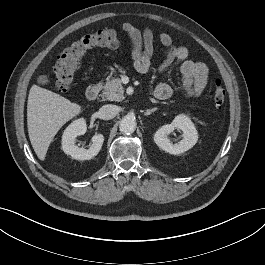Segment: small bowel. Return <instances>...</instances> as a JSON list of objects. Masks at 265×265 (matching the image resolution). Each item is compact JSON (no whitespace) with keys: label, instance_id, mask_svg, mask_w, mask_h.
Listing matches in <instances>:
<instances>
[{"label":"small bowel","instance_id":"1","mask_svg":"<svg viewBox=\"0 0 265 265\" xmlns=\"http://www.w3.org/2000/svg\"><path fill=\"white\" fill-rule=\"evenodd\" d=\"M122 29L130 38L131 56L135 69L139 73H146L151 66L154 50V34L150 28L140 30L131 22H124ZM159 41L165 48L164 60L160 69H164L174 62H180L182 74V85L185 95L188 98H196L203 92L207 79L208 67L203 62L189 60V52L186 47L173 44L169 34L159 35ZM172 89L166 82H160L155 90L154 96L157 99L165 100L171 96Z\"/></svg>","mask_w":265,"mask_h":265}]
</instances>
